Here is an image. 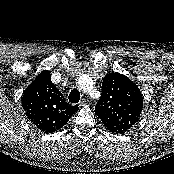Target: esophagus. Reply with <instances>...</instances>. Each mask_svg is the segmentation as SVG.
<instances>
[{
    "label": "esophagus",
    "instance_id": "esophagus-1",
    "mask_svg": "<svg viewBox=\"0 0 174 174\" xmlns=\"http://www.w3.org/2000/svg\"><path fill=\"white\" fill-rule=\"evenodd\" d=\"M87 104V101L85 99H82L80 102H79V106L82 107V106H85Z\"/></svg>",
    "mask_w": 174,
    "mask_h": 174
}]
</instances>
